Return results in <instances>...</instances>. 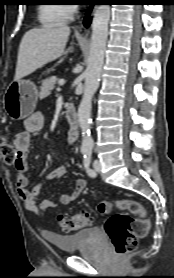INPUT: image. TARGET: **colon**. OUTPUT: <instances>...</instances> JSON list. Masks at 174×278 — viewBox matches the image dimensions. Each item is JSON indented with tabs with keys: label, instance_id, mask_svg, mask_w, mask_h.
<instances>
[{
	"label": "colon",
	"instance_id": "5ec220e1",
	"mask_svg": "<svg viewBox=\"0 0 174 278\" xmlns=\"http://www.w3.org/2000/svg\"><path fill=\"white\" fill-rule=\"evenodd\" d=\"M0 153L7 163L13 164L16 158L14 147L0 137ZM114 209L122 211L111 215L105 223V231L117 254L122 255L135 249L137 240L147 234L149 221L142 205L132 199L104 200L98 205L102 214L111 213ZM59 224L64 231L71 232L90 226L94 215L82 211L74 215H59Z\"/></svg>",
	"mask_w": 174,
	"mask_h": 278
}]
</instances>
